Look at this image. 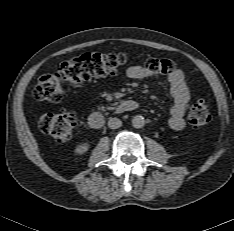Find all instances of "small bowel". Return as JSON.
Returning a JSON list of instances; mask_svg holds the SVG:
<instances>
[{
	"label": "small bowel",
	"instance_id": "obj_1",
	"mask_svg": "<svg viewBox=\"0 0 234 231\" xmlns=\"http://www.w3.org/2000/svg\"><path fill=\"white\" fill-rule=\"evenodd\" d=\"M126 74L131 79H141L150 77L154 73L143 66L134 65L127 69ZM168 79L170 83V94L173 99L169 125L173 130L179 131L185 126L184 114L186 106L190 100V91L185 81L184 73L181 69H174Z\"/></svg>",
	"mask_w": 234,
	"mask_h": 231
}]
</instances>
